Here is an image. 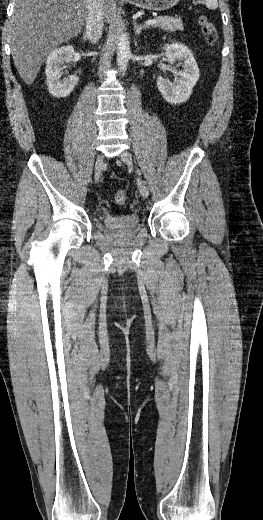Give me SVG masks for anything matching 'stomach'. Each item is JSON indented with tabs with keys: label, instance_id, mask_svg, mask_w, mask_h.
Returning <instances> with one entry per match:
<instances>
[{
	"label": "stomach",
	"instance_id": "1",
	"mask_svg": "<svg viewBox=\"0 0 263 520\" xmlns=\"http://www.w3.org/2000/svg\"><path fill=\"white\" fill-rule=\"evenodd\" d=\"M128 3L147 10L164 11L174 7L180 0H126Z\"/></svg>",
	"mask_w": 263,
	"mask_h": 520
}]
</instances>
